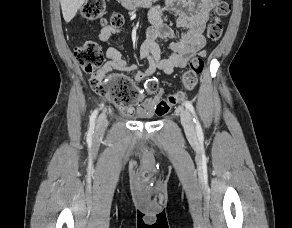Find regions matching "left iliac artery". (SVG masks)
<instances>
[{"instance_id":"1","label":"left iliac artery","mask_w":292,"mask_h":228,"mask_svg":"<svg viewBox=\"0 0 292 228\" xmlns=\"http://www.w3.org/2000/svg\"><path fill=\"white\" fill-rule=\"evenodd\" d=\"M184 105L192 113V115L194 117L193 120H194V123H195V126H196V131H197L198 137L203 136L202 127H201V125L199 123V120H198V118L196 116L194 106L192 105V103L190 101H185Z\"/></svg>"}]
</instances>
